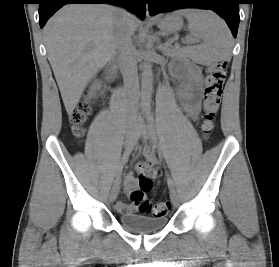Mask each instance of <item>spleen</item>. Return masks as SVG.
I'll return each mask as SVG.
<instances>
[{
  "label": "spleen",
  "instance_id": "obj_1",
  "mask_svg": "<svg viewBox=\"0 0 279 267\" xmlns=\"http://www.w3.org/2000/svg\"><path fill=\"white\" fill-rule=\"evenodd\" d=\"M188 20V29L203 42L185 51L194 62L208 65L216 59H231L232 36L226 23L214 12L200 9H184L176 13Z\"/></svg>",
  "mask_w": 279,
  "mask_h": 267
}]
</instances>
